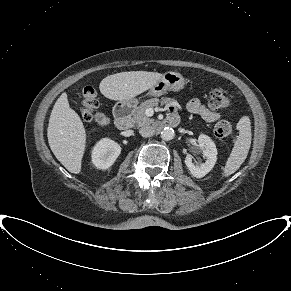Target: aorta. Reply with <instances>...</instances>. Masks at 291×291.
Here are the masks:
<instances>
[{
    "mask_svg": "<svg viewBox=\"0 0 291 291\" xmlns=\"http://www.w3.org/2000/svg\"><path fill=\"white\" fill-rule=\"evenodd\" d=\"M161 138L166 141L172 140L174 138V130L170 127H165L161 132Z\"/></svg>",
    "mask_w": 291,
    "mask_h": 291,
    "instance_id": "762f6f07",
    "label": "aorta"
}]
</instances>
